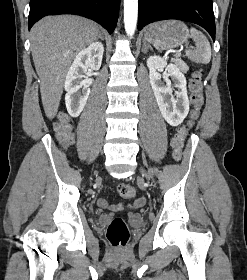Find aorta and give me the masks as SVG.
<instances>
[{
    "label": "aorta",
    "instance_id": "1",
    "mask_svg": "<svg viewBox=\"0 0 247 280\" xmlns=\"http://www.w3.org/2000/svg\"><path fill=\"white\" fill-rule=\"evenodd\" d=\"M138 16V0H124V26L128 36L135 33Z\"/></svg>",
    "mask_w": 247,
    "mask_h": 280
}]
</instances>
